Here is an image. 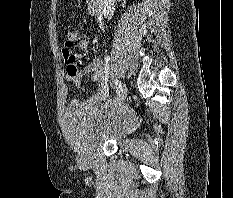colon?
<instances>
[{
  "label": "colon",
  "mask_w": 233,
  "mask_h": 198,
  "mask_svg": "<svg viewBox=\"0 0 233 198\" xmlns=\"http://www.w3.org/2000/svg\"><path fill=\"white\" fill-rule=\"evenodd\" d=\"M79 35L75 30L68 29L64 32V46L73 48L78 44Z\"/></svg>",
  "instance_id": "1"
}]
</instances>
